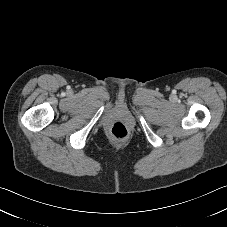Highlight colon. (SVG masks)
Wrapping results in <instances>:
<instances>
[{"instance_id": "1", "label": "colon", "mask_w": 227, "mask_h": 227, "mask_svg": "<svg viewBox=\"0 0 227 227\" xmlns=\"http://www.w3.org/2000/svg\"><path fill=\"white\" fill-rule=\"evenodd\" d=\"M112 134L118 139H124L128 135V130L122 123H115L112 127Z\"/></svg>"}]
</instances>
